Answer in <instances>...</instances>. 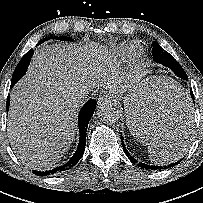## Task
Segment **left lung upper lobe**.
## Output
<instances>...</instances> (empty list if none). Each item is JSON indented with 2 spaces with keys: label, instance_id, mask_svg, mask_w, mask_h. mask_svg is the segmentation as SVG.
<instances>
[{
  "label": "left lung upper lobe",
  "instance_id": "1",
  "mask_svg": "<svg viewBox=\"0 0 203 203\" xmlns=\"http://www.w3.org/2000/svg\"><path fill=\"white\" fill-rule=\"evenodd\" d=\"M155 51H162V48H161L156 42H153L152 54H154ZM183 71H184V70H183ZM184 72H185V71H184Z\"/></svg>",
  "mask_w": 203,
  "mask_h": 203
}]
</instances>
